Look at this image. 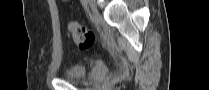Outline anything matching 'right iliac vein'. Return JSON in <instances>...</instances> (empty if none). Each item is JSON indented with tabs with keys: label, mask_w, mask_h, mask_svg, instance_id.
I'll list each match as a JSON object with an SVG mask.
<instances>
[{
	"label": "right iliac vein",
	"mask_w": 209,
	"mask_h": 90,
	"mask_svg": "<svg viewBox=\"0 0 209 90\" xmlns=\"http://www.w3.org/2000/svg\"><path fill=\"white\" fill-rule=\"evenodd\" d=\"M89 3H90V7H91L93 13L96 14V6H95V2H94V1H89Z\"/></svg>",
	"instance_id": "right-iliac-vein-1"
}]
</instances>
